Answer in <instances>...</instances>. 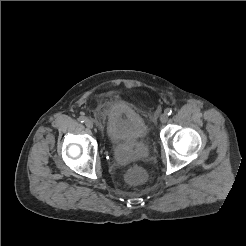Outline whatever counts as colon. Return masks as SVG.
<instances>
[{
    "label": "colon",
    "mask_w": 246,
    "mask_h": 246,
    "mask_svg": "<svg viewBox=\"0 0 246 246\" xmlns=\"http://www.w3.org/2000/svg\"><path fill=\"white\" fill-rule=\"evenodd\" d=\"M146 172L140 167H134L126 173V181L130 184H140L146 180Z\"/></svg>",
    "instance_id": "1"
}]
</instances>
